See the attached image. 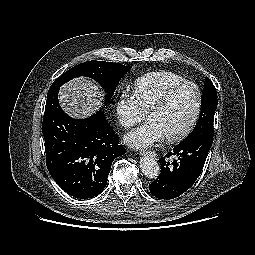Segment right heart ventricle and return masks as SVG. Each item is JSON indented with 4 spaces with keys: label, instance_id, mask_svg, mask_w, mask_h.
<instances>
[{
    "label": "right heart ventricle",
    "instance_id": "e07e8e85",
    "mask_svg": "<svg viewBox=\"0 0 255 255\" xmlns=\"http://www.w3.org/2000/svg\"><path fill=\"white\" fill-rule=\"evenodd\" d=\"M183 81V77L172 72L149 73L135 82L134 96L147 113L167 90Z\"/></svg>",
    "mask_w": 255,
    "mask_h": 255
}]
</instances>
